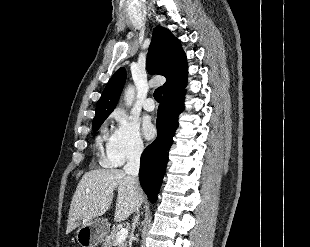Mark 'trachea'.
I'll return each instance as SVG.
<instances>
[{"instance_id":"trachea-1","label":"trachea","mask_w":310,"mask_h":247,"mask_svg":"<svg viewBox=\"0 0 310 247\" xmlns=\"http://www.w3.org/2000/svg\"><path fill=\"white\" fill-rule=\"evenodd\" d=\"M153 96L157 102H160L162 98V87L157 88Z\"/></svg>"}]
</instances>
